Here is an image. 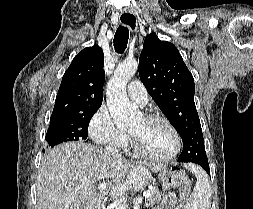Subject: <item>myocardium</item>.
I'll return each instance as SVG.
<instances>
[{"label":"myocardium","instance_id":"obj_1","mask_svg":"<svg viewBox=\"0 0 253 209\" xmlns=\"http://www.w3.org/2000/svg\"><path fill=\"white\" fill-rule=\"evenodd\" d=\"M143 117L146 120H159L164 122L172 131L174 138H175V146L173 151L165 156V157H155L151 154H148L147 152H145L143 150V148L141 147L138 139L132 134L130 133L131 136V141H132V146L134 151L136 152L137 155H139L140 157L152 161V162H156V163H167L170 162L171 160H173L178 153L180 152L181 149V136L177 130V128L175 127V125L165 116L161 115V114H157V113H145L143 115Z\"/></svg>","mask_w":253,"mask_h":209}]
</instances>
